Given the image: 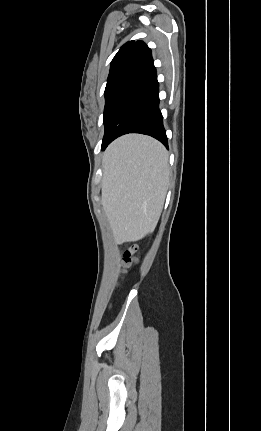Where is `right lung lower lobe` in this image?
<instances>
[{
  "label": "right lung lower lobe",
  "instance_id": "98d812e1",
  "mask_svg": "<svg viewBox=\"0 0 261 431\" xmlns=\"http://www.w3.org/2000/svg\"><path fill=\"white\" fill-rule=\"evenodd\" d=\"M159 102V83L156 69L151 64L139 73L122 98L109 129V140L102 150L127 133L150 135L168 148Z\"/></svg>",
  "mask_w": 261,
  "mask_h": 431
}]
</instances>
